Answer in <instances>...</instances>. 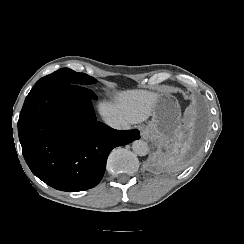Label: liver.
<instances>
[{"mask_svg": "<svg viewBox=\"0 0 244 244\" xmlns=\"http://www.w3.org/2000/svg\"><path fill=\"white\" fill-rule=\"evenodd\" d=\"M157 94L140 89L118 92L114 103L100 102L98 111L102 117L125 120L128 125L146 121L152 115Z\"/></svg>", "mask_w": 244, "mask_h": 244, "instance_id": "6515ba94", "label": "liver"}]
</instances>
